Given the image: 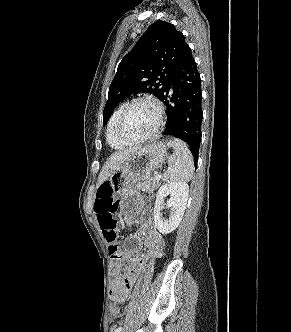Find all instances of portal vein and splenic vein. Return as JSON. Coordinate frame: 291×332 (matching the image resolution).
Masks as SVG:
<instances>
[{"label":"portal vein and splenic vein","mask_w":291,"mask_h":332,"mask_svg":"<svg viewBox=\"0 0 291 332\" xmlns=\"http://www.w3.org/2000/svg\"><path fill=\"white\" fill-rule=\"evenodd\" d=\"M155 179H156V181H159V180L161 179V175H160V174H157V175L155 176Z\"/></svg>","instance_id":"portal-vein-and-splenic-vein-1"}]
</instances>
